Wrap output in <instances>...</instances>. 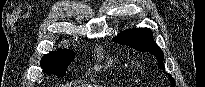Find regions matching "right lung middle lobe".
Here are the masks:
<instances>
[{"instance_id":"dd1d6c3e","label":"right lung middle lobe","mask_w":205,"mask_h":87,"mask_svg":"<svg viewBox=\"0 0 205 87\" xmlns=\"http://www.w3.org/2000/svg\"><path fill=\"white\" fill-rule=\"evenodd\" d=\"M74 53L72 50L59 49L44 55L41 60V68L46 73H53L64 76L68 65L73 61Z\"/></svg>"}]
</instances>
